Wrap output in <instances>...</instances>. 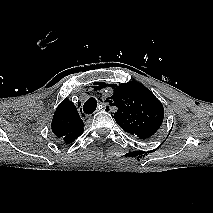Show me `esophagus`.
Instances as JSON below:
<instances>
[{
	"mask_svg": "<svg viewBox=\"0 0 213 213\" xmlns=\"http://www.w3.org/2000/svg\"><path fill=\"white\" fill-rule=\"evenodd\" d=\"M102 104H103V109L105 110L106 107L108 106V104H106V103H102Z\"/></svg>",
	"mask_w": 213,
	"mask_h": 213,
	"instance_id": "1",
	"label": "esophagus"
}]
</instances>
